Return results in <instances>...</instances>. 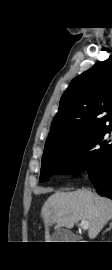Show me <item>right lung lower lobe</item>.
I'll list each match as a JSON object with an SVG mask.
<instances>
[{"label":"right lung lower lobe","mask_w":112,"mask_h":270,"mask_svg":"<svg viewBox=\"0 0 112 270\" xmlns=\"http://www.w3.org/2000/svg\"><path fill=\"white\" fill-rule=\"evenodd\" d=\"M89 177L101 196L112 199V149L108 152L102 166Z\"/></svg>","instance_id":"right-lung-lower-lobe-1"}]
</instances>
